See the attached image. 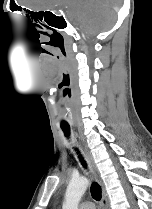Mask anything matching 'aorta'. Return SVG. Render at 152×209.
<instances>
[{"label":"aorta","instance_id":"762f6f07","mask_svg":"<svg viewBox=\"0 0 152 209\" xmlns=\"http://www.w3.org/2000/svg\"><path fill=\"white\" fill-rule=\"evenodd\" d=\"M89 186L87 178L72 179L65 193L62 209H78L80 200Z\"/></svg>","mask_w":152,"mask_h":209}]
</instances>
